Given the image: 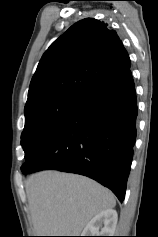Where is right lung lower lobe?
<instances>
[{
    "label": "right lung lower lobe",
    "instance_id": "98d812e1",
    "mask_svg": "<svg viewBox=\"0 0 158 237\" xmlns=\"http://www.w3.org/2000/svg\"><path fill=\"white\" fill-rule=\"evenodd\" d=\"M137 101L130 70L91 94L41 144L22 170L88 176L125 198L136 139Z\"/></svg>",
    "mask_w": 158,
    "mask_h": 237
}]
</instances>
